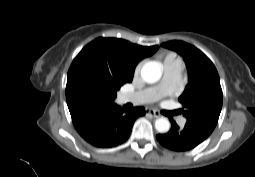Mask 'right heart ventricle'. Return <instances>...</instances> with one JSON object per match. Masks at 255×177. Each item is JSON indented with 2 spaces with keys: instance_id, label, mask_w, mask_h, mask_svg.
<instances>
[{
  "instance_id": "e07e8e85",
  "label": "right heart ventricle",
  "mask_w": 255,
  "mask_h": 177,
  "mask_svg": "<svg viewBox=\"0 0 255 177\" xmlns=\"http://www.w3.org/2000/svg\"><path fill=\"white\" fill-rule=\"evenodd\" d=\"M164 72H181L183 62L174 51H165L158 56Z\"/></svg>"
}]
</instances>
